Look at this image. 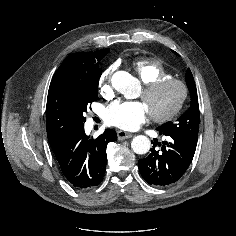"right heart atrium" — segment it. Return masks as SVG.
Segmentation results:
<instances>
[{
	"label": "right heart atrium",
	"instance_id": "1",
	"mask_svg": "<svg viewBox=\"0 0 236 236\" xmlns=\"http://www.w3.org/2000/svg\"><path fill=\"white\" fill-rule=\"evenodd\" d=\"M115 66H110L106 70L102 72V74L99 77V90L102 95L104 96H111L113 92L112 88V75L114 73Z\"/></svg>",
	"mask_w": 236,
	"mask_h": 236
}]
</instances>
